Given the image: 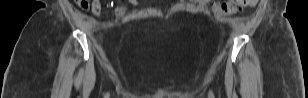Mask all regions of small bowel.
<instances>
[{"mask_svg":"<svg viewBox=\"0 0 308 98\" xmlns=\"http://www.w3.org/2000/svg\"><path fill=\"white\" fill-rule=\"evenodd\" d=\"M131 4L135 5V6H138L140 4L139 1L137 0H130L129 1ZM192 3H195L197 5H203L205 3L204 0H193L191 1ZM255 4H251L249 6H253ZM89 6H91V10H92V13L94 14V16L98 19L101 18V3L99 0H93V1H89V3L87 4L86 7H82L83 9H88Z\"/></svg>","mask_w":308,"mask_h":98,"instance_id":"1","label":"small bowel"}]
</instances>
